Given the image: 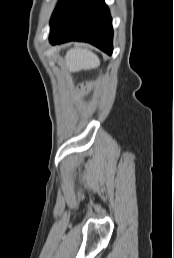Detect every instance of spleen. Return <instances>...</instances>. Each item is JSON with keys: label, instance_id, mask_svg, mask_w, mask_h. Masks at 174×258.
I'll list each match as a JSON object with an SVG mask.
<instances>
[{"label": "spleen", "instance_id": "obj_1", "mask_svg": "<svg viewBox=\"0 0 174 258\" xmlns=\"http://www.w3.org/2000/svg\"><path fill=\"white\" fill-rule=\"evenodd\" d=\"M66 66L72 71L81 69H92L100 65V60L96 54L87 48L84 49H71L65 56Z\"/></svg>", "mask_w": 174, "mask_h": 258}]
</instances>
